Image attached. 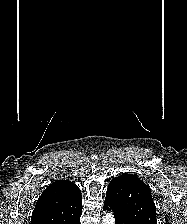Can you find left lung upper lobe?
Wrapping results in <instances>:
<instances>
[{
  "label": "left lung upper lobe",
  "mask_w": 187,
  "mask_h": 224,
  "mask_svg": "<svg viewBox=\"0 0 187 224\" xmlns=\"http://www.w3.org/2000/svg\"><path fill=\"white\" fill-rule=\"evenodd\" d=\"M106 198L131 224H157L156 206L148 185L136 175L124 173L113 178Z\"/></svg>",
  "instance_id": "5c2ea615"
}]
</instances>
